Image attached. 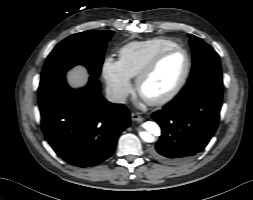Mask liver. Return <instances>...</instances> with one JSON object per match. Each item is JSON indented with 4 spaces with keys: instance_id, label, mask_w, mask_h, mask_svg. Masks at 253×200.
I'll return each mask as SVG.
<instances>
[{
    "instance_id": "1",
    "label": "liver",
    "mask_w": 253,
    "mask_h": 200,
    "mask_svg": "<svg viewBox=\"0 0 253 200\" xmlns=\"http://www.w3.org/2000/svg\"><path fill=\"white\" fill-rule=\"evenodd\" d=\"M88 73L83 66H75L67 73L69 84L74 88L82 87L86 84Z\"/></svg>"
}]
</instances>
